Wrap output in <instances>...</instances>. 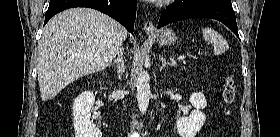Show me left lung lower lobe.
<instances>
[{
  "label": "left lung lower lobe",
  "instance_id": "1",
  "mask_svg": "<svg viewBox=\"0 0 280 137\" xmlns=\"http://www.w3.org/2000/svg\"><path fill=\"white\" fill-rule=\"evenodd\" d=\"M186 18H212L225 24L239 38L231 0H183L161 14L158 28Z\"/></svg>",
  "mask_w": 280,
  "mask_h": 137
}]
</instances>
